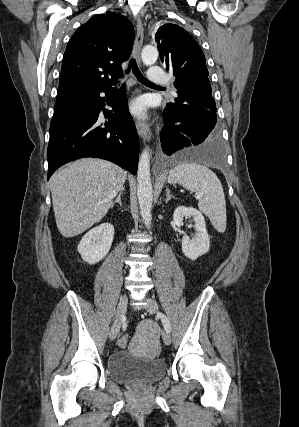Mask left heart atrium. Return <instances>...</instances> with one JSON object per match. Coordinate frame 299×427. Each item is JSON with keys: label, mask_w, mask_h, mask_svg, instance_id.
Here are the masks:
<instances>
[{"label": "left heart atrium", "mask_w": 299, "mask_h": 427, "mask_svg": "<svg viewBox=\"0 0 299 427\" xmlns=\"http://www.w3.org/2000/svg\"><path fill=\"white\" fill-rule=\"evenodd\" d=\"M131 112L136 116H144L146 112V103L143 99H137L130 105Z\"/></svg>", "instance_id": "left-heart-atrium-1"}]
</instances>
